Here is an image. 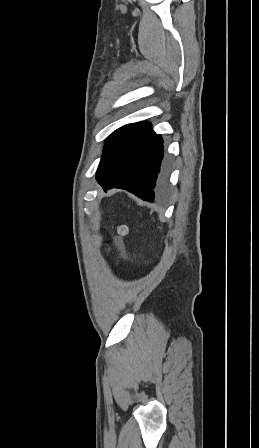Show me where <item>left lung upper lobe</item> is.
I'll use <instances>...</instances> for the list:
<instances>
[{"instance_id": "1", "label": "left lung upper lobe", "mask_w": 259, "mask_h": 448, "mask_svg": "<svg viewBox=\"0 0 259 448\" xmlns=\"http://www.w3.org/2000/svg\"><path fill=\"white\" fill-rule=\"evenodd\" d=\"M120 129V128H119ZM117 129L116 131H114L110 136L107 137V139L105 140V143L119 130Z\"/></svg>"}]
</instances>
